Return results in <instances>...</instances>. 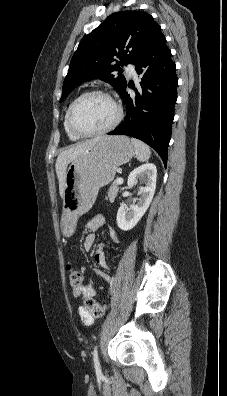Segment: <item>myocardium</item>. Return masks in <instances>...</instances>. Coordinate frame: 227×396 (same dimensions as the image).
Masks as SVG:
<instances>
[{
  "mask_svg": "<svg viewBox=\"0 0 227 396\" xmlns=\"http://www.w3.org/2000/svg\"><path fill=\"white\" fill-rule=\"evenodd\" d=\"M92 95H99V96H103L105 98H107L115 107L116 110V116L114 118V120L106 127L100 129V130H96V131H91V132H85L82 131L80 129H78L74 123V112L75 109L77 107V105L79 104V102L81 100H83L84 98L88 97V96H92ZM123 119V108L120 105V103H118L113 97L112 95H110L108 92L103 91V90H99V89H92V90H88L83 92L82 94H80L71 104L68 110V115H67V123L69 126V129L77 136L79 137H94V136H99V135H103L106 134L110 131H112L113 129H115L120 122Z\"/></svg>",
  "mask_w": 227,
  "mask_h": 396,
  "instance_id": "1",
  "label": "myocardium"
}]
</instances>
